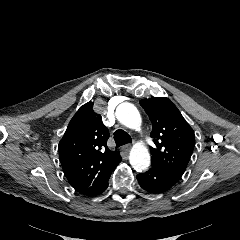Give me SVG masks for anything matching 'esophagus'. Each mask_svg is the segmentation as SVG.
I'll return each instance as SVG.
<instances>
[{
  "label": "esophagus",
  "mask_w": 240,
  "mask_h": 240,
  "mask_svg": "<svg viewBox=\"0 0 240 240\" xmlns=\"http://www.w3.org/2000/svg\"><path fill=\"white\" fill-rule=\"evenodd\" d=\"M131 149V145L130 144H126L122 147V150L125 151V152H129Z\"/></svg>",
  "instance_id": "esophagus-1"
}]
</instances>
